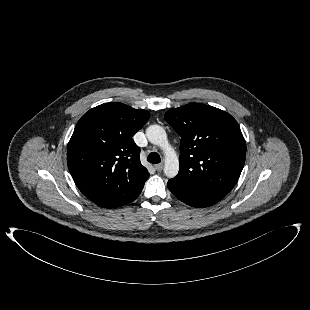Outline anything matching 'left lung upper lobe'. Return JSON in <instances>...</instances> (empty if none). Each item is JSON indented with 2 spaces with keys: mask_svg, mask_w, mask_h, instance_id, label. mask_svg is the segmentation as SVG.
Wrapping results in <instances>:
<instances>
[{
  "mask_svg": "<svg viewBox=\"0 0 310 310\" xmlns=\"http://www.w3.org/2000/svg\"><path fill=\"white\" fill-rule=\"evenodd\" d=\"M166 121L180 135L178 184L225 197L245 163L246 143L236 120L218 108L190 103L167 111Z\"/></svg>",
  "mask_w": 310,
  "mask_h": 310,
  "instance_id": "obj_1",
  "label": "left lung upper lobe"
}]
</instances>
